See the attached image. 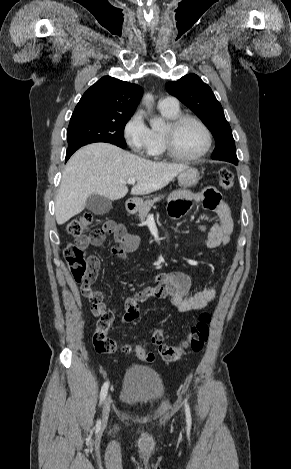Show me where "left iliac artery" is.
Masks as SVG:
<instances>
[{
    "instance_id": "obj_1",
    "label": "left iliac artery",
    "mask_w": 291,
    "mask_h": 469,
    "mask_svg": "<svg viewBox=\"0 0 291 469\" xmlns=\"http://www.w3.org/2000/svg\"><path fill=\"white\" fill-rule=\"evenodd\" d=\"M185 412H186V421H187V424L188 426H191V413H190V408H189V404L187 403V401H185Z\"/></svg>"
}]
</instances>
